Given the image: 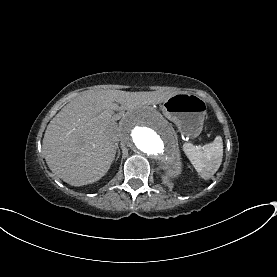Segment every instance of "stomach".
Listing matches in <instances>:
<instances>
[{
	"instance_id": "obj_1",
	"label": "stomach",
	"mask_w": 277,
	"mask_h": 277,
	"mask_svg": "<svg viewBox=\"0 0 277 277\" xmlns=\"http://www.w3.org/2000/svg\"><path fill=\"white\" fill-rule=\"evenodd\" d=\"M162 111L185 136L195 138L201 133L206 115L202 98L189 93L175 94L163 102Z\"/></svg>"
}]
</instances>
